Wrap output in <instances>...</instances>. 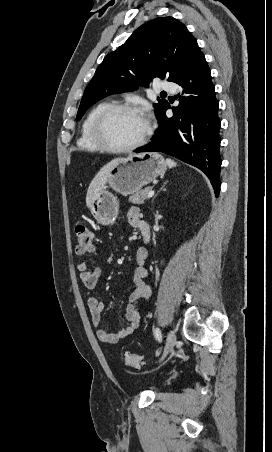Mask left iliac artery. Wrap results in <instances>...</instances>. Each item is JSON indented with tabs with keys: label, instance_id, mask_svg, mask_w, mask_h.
<instances>
[{
	"label": "left iliac artery",
	"instance_id": "44dca946",
	"mask_svg": "<svg viewBox=\"0 0 272 452\" xmlns=\"http://www.w3.org/2000/svg\"><path fill=\"white\" fill-rule=\"evenodd\" d=\"M154 334H155L156 338H157L159 341H161L162 336H161V331H160L159 328H156V329L154 330Z\"/></svg>",
	"mask_w": 272,
	"mask_h": 452
}]
</instances>
